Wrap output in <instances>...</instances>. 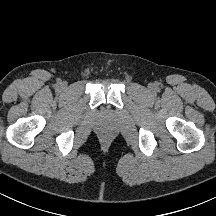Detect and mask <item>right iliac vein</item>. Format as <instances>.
<instances>
[{
	"label": "right iliac vein",
	"mask_w": 216,
	"mask_h": 216,
	"mask_svg": "<svg viewBox=\"0 0 216 216\" xmlns=\"http://www.w3.org/2000/svg\"><path fill=\"white\" fill-rule=\"evenodd\" d=\"M64 86H65L64 84H62V83L60 84V88H64Z\"/></svg>",
	"instance_id": "obj_1"
}]
</instances>
